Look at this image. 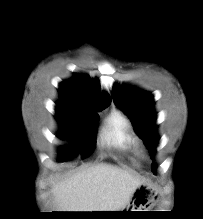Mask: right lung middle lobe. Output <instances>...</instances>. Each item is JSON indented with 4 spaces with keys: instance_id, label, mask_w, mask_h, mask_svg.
Segmentation results:
<instances>
[{
    "instance_id": "1",
    "label": "right lung middle lobe",
    "mask_w": 203,
    "mask_h": 219,
    "mask_svg": "<svg viewBox=\"0 0 203 219\" xmlns=\"http://www.w3.org/2000/svg\"><path fill=\"white\" fill-rule=\"evenodd\" d=\"M57 120L61 126L59 137L69 139L70 147L61 148L59 160H68L74 153L81 152L83 157L94 149L97 111H91L84 105L60 101L57 103Z\"/></svg>"
}]
</instances>
